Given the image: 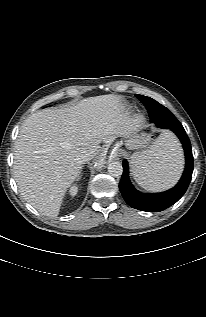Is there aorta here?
I'll return each mask as SVG.
<instances>
[{"mask_svg":"<svg viewBox=\"0 0 206 317\" xmlns=\"http://www.w3.org/2000/svg\"><path fill=\"white\" fill-rule=\"evenodd\" d=\"M108 172L111 176H114V177H119L122 175L123 173V167H122V164L118 161H115V162H111L109 165H108Z\"/></svg>","mask_w":206,"mask_h":317,"instance_id":"aorta-1","label":"aorta"}]
</instances>
